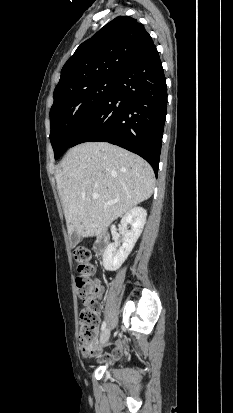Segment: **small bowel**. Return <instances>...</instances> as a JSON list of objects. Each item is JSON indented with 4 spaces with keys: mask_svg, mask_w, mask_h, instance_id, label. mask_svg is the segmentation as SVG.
<instances>
[{
    "mask_svg": "<svg viewBox=\"0 0 233 413\" xmlns=\"http://www.w3.org/2000/svg\"><path fill=\"white\" fill-rule=\"evenodd\" d=\"M101 294H102L101 289H98L91 297H93L95 299H98V298H100ZM85 302H86V300H85Z\"/></svg>",
    "mask_w": 233,
    "mask_h": 413,
    "instance_id": "small-bowel-1",
    "label": "small bowel"
}]
</instances>
